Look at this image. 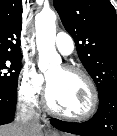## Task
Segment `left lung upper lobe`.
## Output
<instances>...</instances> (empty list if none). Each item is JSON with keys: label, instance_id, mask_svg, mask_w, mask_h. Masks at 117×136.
I'll return each mask as SVG.
<instances>
[{"label": "left lung upper lobe", "instance_id": "5c2ea615", "mask_svg": "<svg viewBox=\"0 0 117 136\" xmlns=\"http://www.w3.org/2000/svg\"><path fill=\"white\" fill-rule=\"evenodd\" d=\"M99 97L117 85V16L109 0H54Z\"/></svg>", "mask_w": 117, "mask_h": 136}]
</instances>
